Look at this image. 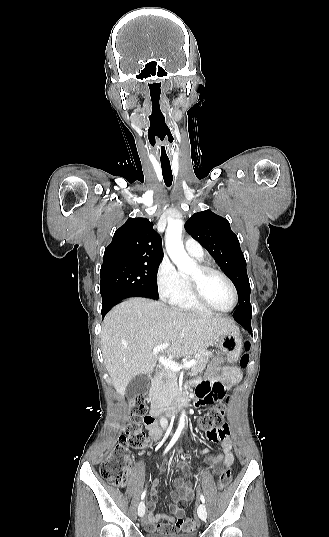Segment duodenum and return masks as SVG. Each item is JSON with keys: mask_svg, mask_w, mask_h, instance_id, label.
<instances>
[{"mask_svg": "<svg viewBox=\"0 0 329 537\" xmlns=\"http://www.w3.org/2000/svg\"><path fill=\"white\" fill-rule=\"evenodd\" d=\"M189 393L183 392L178 402H164L160 399H153L150 403V414L158 417L161 414L174 415L180 404L189 400Z\"/></svg>", "mask_w": 329, "mask_h": 537, "instance_id": "1", "label": "duodenum"}]
</instances>
